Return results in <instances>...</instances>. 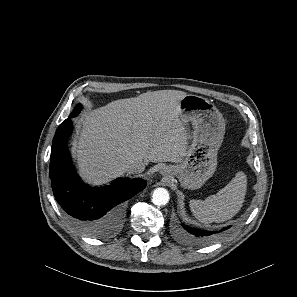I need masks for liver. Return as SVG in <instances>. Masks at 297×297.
I'll return each instance as SVG.
<instances>
[{
	"instance_id": "6515ba94",
	"label": "liver",
	"mask_w": 297,
	"mask_h": 297,
	"mask_svg": "<svg viewBox=\"0 0 297 297\" xmlns=\"http://www.w3.org/2000/svg\"><path fill=\"white\" fill-rule=\"evenodd\" d=\"M186 95L178 90L146 92L85 113L72 142L82 177L108 182L126 172L129 159L181 162L189 135L179 118V103Z\"/></svg>"
}]
</instances>
